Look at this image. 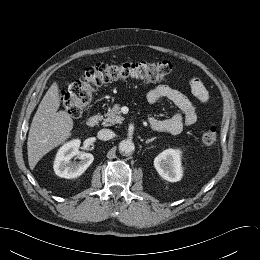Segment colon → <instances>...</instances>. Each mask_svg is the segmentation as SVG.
Here are the masks:
<instances>
[{
    "label": "colon",
    "mask_w": 260,
    "mask_h": 260,
    "mask_svg": "<svg viewBox=\"0 0 260 260\" xmlns=\"http://www.w3.org/2000/svg\"><path fill=\"white\" fill-rule=\"evenodd\" d=\"M172 71L168 61H143L131 63H99L88 68L82 77L68 90L61 91V101L67 113L81 116L91 103L97 89L104 83L116 80H136L143 83L163 81ZM205 145H213L217 140V128L210 126L201 135Z\"/></svg>",
    "instance_id": "obj_1"
}]
</instances>
